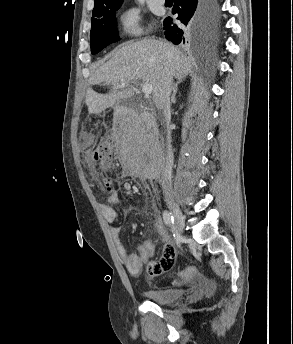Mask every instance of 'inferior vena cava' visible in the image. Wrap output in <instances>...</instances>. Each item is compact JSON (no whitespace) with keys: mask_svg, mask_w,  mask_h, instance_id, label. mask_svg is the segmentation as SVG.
Returning <instances> with one entry per match:
<instances>
[{"mask_svg":"<svg viewBox=\"0 0 293 344\" xmlns=\"http://www.w3.org/2000/svg\"><path fill=\"white\" fill-rule=\"evenodd\" d=\"M173 89V77L167 73L164 83L159 91L158 105L163 110L165 123L167 126V141L165 143V164L161 173V186L166 197L172 196V167H173V152L171 147V132L169 124L171 121V104L170 96Z\"/></svg>","mask_w":293,"mask_h":344,"instance_id":"obj_1","label":"inferior vena cava"}]
</instances>
